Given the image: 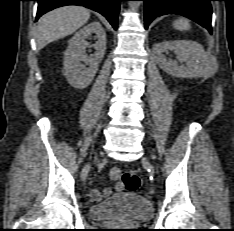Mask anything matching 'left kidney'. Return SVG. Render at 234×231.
Here are the masks:
<instances>
[{
    "mask_svg": "<svg viewBox=\"0 0 234 231\" xmlns=\"http://www.w3.org/2000/svg\"><path fill=\"white\" fill-rule=\"evenodd\" d=\"M173 50L177 60L167 59L165 52ZM153 53L160 68L166 73L180 78H208L215 74L218 65L204 48L191 40L164 41L153 46ZM179 62L186 66H178Z\"/></svg>",
    "mask_w": 234,
    "mask_h": 231,
    "instance_id": "1",
    "label": "left kidney"
}]
</instances>
